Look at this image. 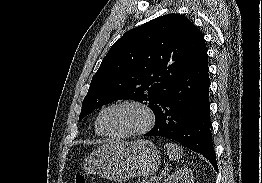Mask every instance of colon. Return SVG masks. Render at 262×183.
<instances>
[{"instance_id": "5ec220e1", "label": "colon", "mask_w": 262, "mask_h": 183, "mask_svg": "<svg viewBox=\"0 0 262 183\" xmlns=\"http://www.w3.org/2000/svg\"><path fill=\"white\" fill-rule=\"evenodd\" d=\"M73 183H86V179L83 175H78Z\"/></svg>"}]
</instances>
